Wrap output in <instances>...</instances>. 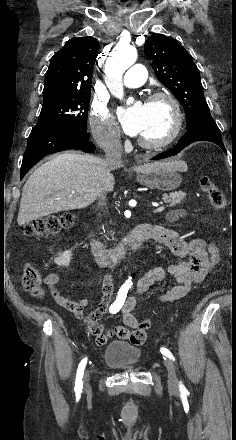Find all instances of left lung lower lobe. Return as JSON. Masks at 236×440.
<instances>
[{
	"label": "left lung lower lobe",
	"mask_w": 236,
	"mask_h": 440,
	"mask_svg": "<svg viewBox=\"0 0 236 440\" xmlns=\"http://www.w3.org/2000/svg\"><path fill=\"white\" fill-rule=\"evenodd\" d=\"M196 141H210L218 146L226 153V149L223 145L220 131L211 117H206L196 123L194 126L188 129L187 133L180 140L174 149L160 153L152 158V160H158L168 158L178 154L183 148Z\"/></svg>",
	"instance_id": "left-lung-lower-lobe-1"
}]
</instances>
